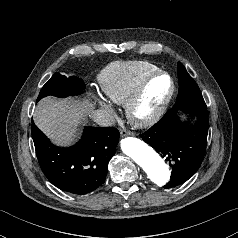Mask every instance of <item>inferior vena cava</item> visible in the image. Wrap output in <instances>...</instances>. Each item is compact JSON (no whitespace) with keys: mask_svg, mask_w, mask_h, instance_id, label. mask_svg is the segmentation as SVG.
I'll use <instances>...</instances> for the list:
<instances>
[{"mask_svg":"<svg viewBox=\"0 0 238 238\" xmlns=\"http://www.w3.org/2000/svg\"><path fill=\"white\" fill-rule=\"evenodd\" d=\"M92 118L101 126H112L115 122L113 116L106 110H98L94 112Z\"/></svg>","mask_w":238,"mask_h":238,"instance_id":"obj_1","label":"inferior vena cava"}]
</instances>
